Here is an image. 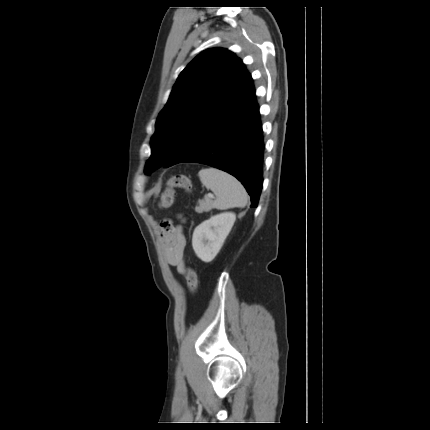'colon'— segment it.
Returning <instances> with one entry per match:
<instances>
[{
  "label": "colon",
  "mask_w": 430,
  "mask_h": 430,
  "mask_svg": "<svg viewBox=\"0 0 430 430\" xmlns=\"http://www.w3.org/2000/svg\"><path fill=\"white\" fill-rule=\"evenodd\" d=\"M175 188H181L186 192L191 191V183L185 175H175L168 183L167 189L162 193L159 201V207L162 209L170 208L175 202ZM185 276L190 293L194 295L198 288V276L192 267L185 268Z\"/></svg>",
  "instance_id": "1"
}]
</instances>
